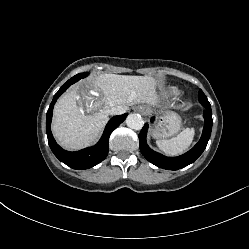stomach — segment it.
I'll use <instances>...</instances> for the list:
<instances>
[{
    "mask_svg": "<svg viewBox=\"0 0 249 249\" xmlns=\"http://www.w3.org/2000/svg\"><path fill=\"white\" fill-rule=\"evenodd\" d=\"M181 118L174 112L163 115L152 130V136L165 139L174 136L181 130Z\"/></svg>",
    "mask_w": 249,
    "mask_h": 249,
    "instance_id": "stomach-1",
    "label": "stomach"
}]
</instances>
